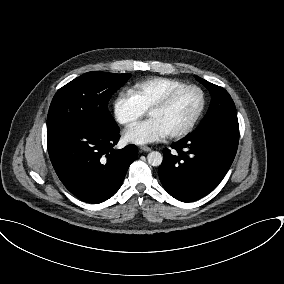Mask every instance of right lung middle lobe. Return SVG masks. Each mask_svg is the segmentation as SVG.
<instances>
[{
	"label": "right lung middle lobe",
	"mask_w": 284,
	"mask_h": 284,
	"mask_svg": "<svg viewBox=\"0 0 284 284\" xmlns=\"http://www.w3.org/2000/svg\"><path fill=\"white\" fill-rule=\"evenodd\" d=\"M130 77L93 71L60 88L49 108L47 138L70 130L116 131L119 127L108 110V102Z\"/></svg>",
	"instance_id": "1"
}]
</instances>
